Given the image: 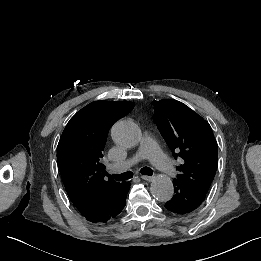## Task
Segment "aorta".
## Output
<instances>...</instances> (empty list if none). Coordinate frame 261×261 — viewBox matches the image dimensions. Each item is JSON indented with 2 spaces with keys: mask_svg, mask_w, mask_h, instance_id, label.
<instances>
[{
  "mask_svg": "<svg viewBox=\"0 0 261 261\" xmlns=\"http://www.w3.org/2000/svg\"><path fill=\"white\" fill-rule=\"evenodd\" d=\"M113 141L122 147H133L137 145L141 138L140 128L131 121H118L111 130ZM151 194L160 202L169 201L174 194V186L170 177L159 174L157 175L150 187Z\"/></svg>",
  "mask_w": 261,
  "mask_h": 261,
  "instance_id": "aorta-1",
  "label": "aorta"
}]
</instances>
